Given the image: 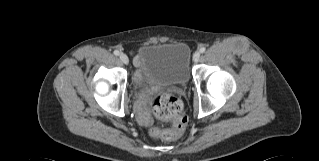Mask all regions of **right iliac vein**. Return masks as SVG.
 Returning a JSON list of instances; mask_svg holds the SVG:
<instances>
[{"instance_id": "right-iliac-vein-1", "label": "right iliac vein", "mask_w": 319, "mask_h": 161, "mask_svg": "<svg viewBox=\"0 0 319 161\" xmlns=\"http://www.w3.org/2000/svg\"><path fill=\"white\" fill-rule=\"evenodd\" d=\"M119 58L123 64L127 65L129 63V59H128L127 55L122 53V54H120Z\"/></svg>"}]
</instances>
